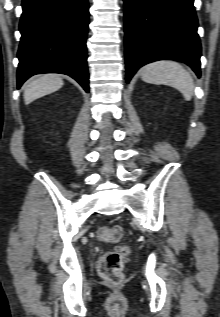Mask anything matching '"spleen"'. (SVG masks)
<instances>
[{
    "label": "spleen",
    "instance_id": "obj_1",
    "mask_svg": "<svg viewBox=\"0 0 220 317\" xmlns=\"http://www.w3.org/2000/svg\"><path fill=\"white\" fill-rule=\"evenodd\" d=\"M142 80L147 83L165 84L178 89L186 99H191L194 82L190 73L178 62L160 60L141 68Z\"/></svg>",
    "mask_w": 220,
    "mask_h": 317
}]
</instances>
